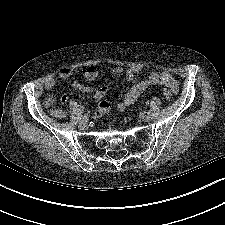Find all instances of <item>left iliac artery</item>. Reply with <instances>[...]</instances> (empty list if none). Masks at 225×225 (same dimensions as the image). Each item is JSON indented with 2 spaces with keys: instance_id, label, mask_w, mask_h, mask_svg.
<instances>
[{
  "instance_id": "obj_1",
  "label": "left iliac artery",
  "mask_w": 225,
  "mask_h": 225,
  "mask_svg": "<svg viewBox=\"0 0 225 225\" xmlns=\"http://www.w3.org/2000/svg\"><path fill=\"white\" fill-rule=\"evenodd\" d=\"M144 113L145 114H150L151 113V110L150 109H147Z\"/></svg>"
}]
</instances>
